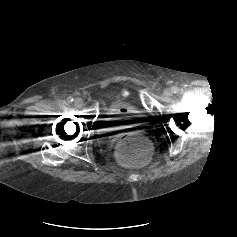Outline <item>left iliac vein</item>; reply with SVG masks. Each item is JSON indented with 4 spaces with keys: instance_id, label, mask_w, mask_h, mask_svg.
<instances>
[{
    "instance_id": "1",
    "label": "left iliac vein",
    "mask_w": 237,
    "mask_h": 237,
    "mask_svg": "<svg viewBox=\"0 0 237 237\" xmlns=\"http://www.w3.org/2000/svg\"><path fill=\"white\" fill-rule=\"evenodd\" d=\"M164 95H165L166 97H170V96L172 95V90H171V89H165V90H164Z\"/></svg>"
}]
</instances>
